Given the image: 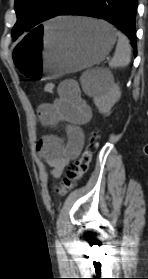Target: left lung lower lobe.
<instances>
[{"label":"left lung lower lobe","instance_id":"1","mask_svg":"<svg viewBox=\"0 0 148 279\" xmlns=\"http://www.w3.org/2000/svg\"><path fill=\"white\" fill-rule=\"evenodd\" d=\"M137 6L138 0H73L58 15H82L104 19L128 36L136 54Z\"/></svg>","mask_w":148,"mask_h":279}]
</instances>
